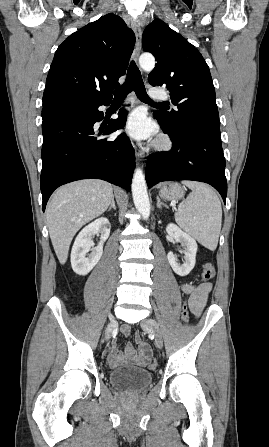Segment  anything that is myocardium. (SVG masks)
<instances>
[{
  "instance_id": "1",
  "label": "myocardium",
  "mask_w": 269,
  "mask_h": 447,
  "mask_svg": "<svg viewBox=\"0 0 269 447\" xmlns=\"http://www.w3.org/2000/svg\"><path fill=\"white\" fill-rule=\"evenodd\" d=\"M172 139L167 134H162L158 137V139L154 143V149L158 152H164L169 150L172 147Z\"/></svg>"
}]
</instances>
